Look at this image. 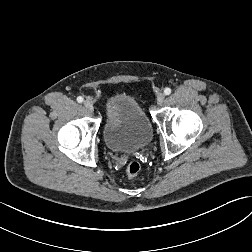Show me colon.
<instances>
[{"mask_svg":"<svg viewBox=\"0 0 252 252\" xmlns=\"http://www.w3.org/2000/svg\"><path fill=\"white\" fill-rule=\"evenodd\" d=\"M141 170V164L138 161H130L126 167V175L129 178L135 177Z\"/></svg>","mask_w":252,"mask_h":252,"instance_id":"5ec220e1","label":"colon"}]
</instances>
